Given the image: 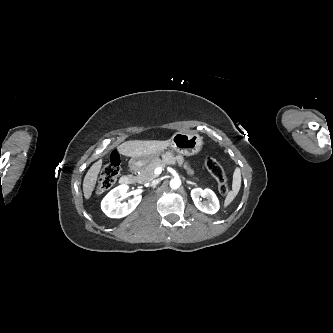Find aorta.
<instances>
[{"mask_svg": "<svg viewBox=\"0 0 333 333\" xmlns=\"http://www.w3.org/2000/svg\"><path fill=\"white\" fill-rule=\"evenodd\" d=\"M181 186V180L179 178H174L170 181V187L172 189H178Z\"/></svg>", "mask_w": 333, "mask_h": 333, "instance_id": "obj_1", "label": "aorta"}]
</instances>
